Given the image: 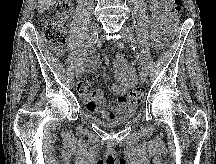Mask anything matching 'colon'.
Instances as JSON below:
<instances>
[{
  "label": "colon",
  "mask_w": 216,
  "mask_h": 164,
  "mask_svg": "<svg viewBox=\"0 0 216 164\" xmlns=\"http://www.w3.org/2000/svg\"><path fill=\"white\" fill-rule=\"evenodd\" d=\"M72 8L73 0H59L55 7L54 18L44 26L43 37L57 53H61L66 44L69 15ZM180 12L181 0H173V9L168 17L173 35H177L179 32ZM145 98V88L137 86L124 96V101L129 105H139L145 100Z\"/></svg>",
  "instance_id": "obj_1"
}]
</instances>
